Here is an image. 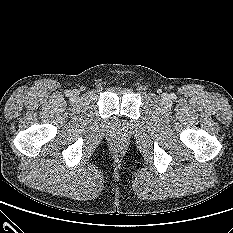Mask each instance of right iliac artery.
Segmentation results:
<instances>
[{
  "instance_id": "82829eb1",
  "label": "right iliac artery",
  "mask_w": 233,
  "mask_h": 233,
  "mask_svg": "<svg viewBox=\"0 0 233 233\" xmlns=\"http://www.w3.org/2000/svg\"><path fill=\"white\" fill-rule=\"evenodd\" d=\"M65 94H66L67 96H69V95H71V91H70V90H67V91L65 92Z\"/></svg>"
}]
</instances>
